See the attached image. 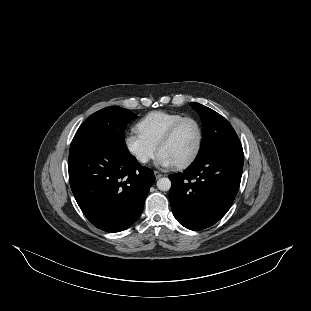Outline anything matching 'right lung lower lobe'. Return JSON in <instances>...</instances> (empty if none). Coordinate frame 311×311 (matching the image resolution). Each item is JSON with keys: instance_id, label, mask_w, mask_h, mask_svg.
<instances>
[{"instance_id": "1", "label": "right lung lower lobe", "mask_w": 311, "mask_h": 311, "mask_svg": "<svg viewBox=\"0 0 311 311\" xmlns=\"http://www.w3.org/2000/svg\"><path fill=\"white\" fill-rule=\"evenodd\" d=\"M68 170L74 197L97 228L119 232L140 216L155 181L128 149L91 142L69 152Z\"/></svg>"}]
</instances>
